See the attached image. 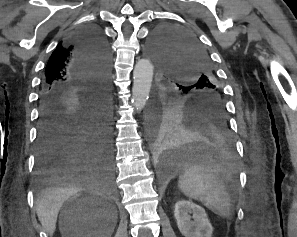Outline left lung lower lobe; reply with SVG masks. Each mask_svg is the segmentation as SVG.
<instances>
[{
    "label": "left lung lower lobe",
    "instance_id": "obj_1",
    "mask_svg": "<svg viewBox=\"0 0 297 237\" xmlns=\"http://www.w3.org/2000/svg\"><path fill=\"white\" fill-rule=\"evenodd\" d=\"M165 92L160 107L172 103ZM178 118L174 132H159L154 152L157 161L168 169L183 167L195 162L213 163L233 154L234 144L227 115L212 102L172 103Z\"/></svg>",
    "mask_w": 297,
    "mask_h": 237
}]
</instances>
